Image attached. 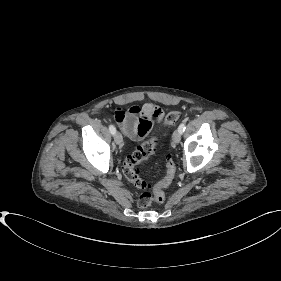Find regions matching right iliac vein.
Returning <instances> with one entry per match:
<instances>
[{
  "instance_id": "1",
  "label": "right iliac vein",
  "mask_w": 281,
  "mask_h": 281,
  "mask_svg": "<svg viewBox=\"0 0 281 281\" xmlns=\"http://www.w3.org/2000/svg\"><path fill=\"white\" fill-rule=\"evenodd\" d=\"M114 141L117 145L121 146L123 143V138L120 132H115L114 134Z\"/></svg>"
}]
</instances>
